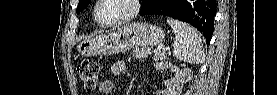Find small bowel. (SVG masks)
Wrapping results in <instances>:
<instances>
[{"mask_svg": "<svg viewBox=\"0 0 277 95\" xmlns=\"http://www.w3.org/2000/svg\"><path fill=\"white\" fill-rule=\"evenodd\" d=\"M126 70H127V64L123 60H118V61L114 62L113 65L111 66V73L113 75H122L123 73H125ZM112 90H113V84L111 81H108V80L101 82L98 87V92L100 94H111ZM170 92L171 91L168 90L167 88H163V89L158 90L155 94L156 95H171L172 93H170Z\"/></svg>", "mask_w": 277, "mask_h": 95, "instance_id": "small-bowel-1", "label": "small bowel"}]
</instances>
